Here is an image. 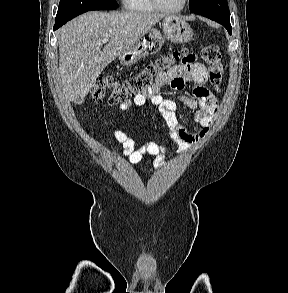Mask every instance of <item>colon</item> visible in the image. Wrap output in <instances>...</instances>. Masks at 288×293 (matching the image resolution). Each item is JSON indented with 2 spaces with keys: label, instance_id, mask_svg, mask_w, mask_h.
<instances>
[{
  "label": "colon",
  "instance_id": "obj_1",
  "mask_svg": "<svg viewBox=\"0 0 288 293\" xmlns=\"http://www.w3.org/2000/svg\"><path fill=\"white\" fill-rule=\"evenodd\" d=\"M200 54L209 66V79L212 86L219 90L223 76L219 47L216 44L204 45L200 49ZM188 55L186 51H173L151 62L122 82L116 81L111 76L100 77L92 87V100L95 103H100L107 99L108 103L113 105L125 102L151 88L160 73L176 67V64L182 62Z\"/></svg>",
  "mask_w": 288,
  "mask_h": 293
}]
</instances>
